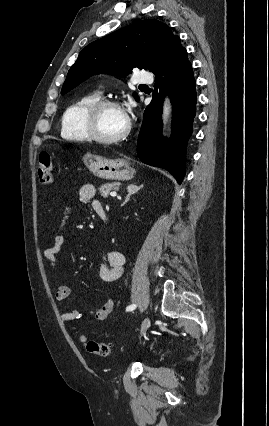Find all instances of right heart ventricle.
<instances>
[{
	"instance_id": "obj_1",
	"label": "right heart ventricle",
	"mask_w": 269,
	"mask_h": 426,
	"mask_svg": "<svg viewBox=\"0 0 269 426\" xmlns=\"http://www.w3.org/2000/svg\"><path fill=\"white\" fill-rule=\"evenodd\" d=\"M98 99V94L89 93L81 96L65 109L61 121L62 137L73 141H88L90 139L85 128L84 117L87 109Z\"/></svg>"
}]
</instances>
